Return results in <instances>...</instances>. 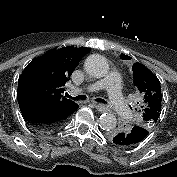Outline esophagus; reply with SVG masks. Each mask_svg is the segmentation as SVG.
I'll list each match as a JSON object with an SVG mask.
<instances>
[{
    "label": "esophagus",
    "instance_id": "1",
    "mask_svg": "<svg viewBox=\"0 0 177 177\" xmlns=\"http://www.w3.org/2000/svg\"><path fill=\"white\" fill-rule=\"evenodd\" d=\"M95 108L98 111H103V112L108 110V107L104 104H101V103H95Z\"/></svg>",
    "mask_w": 177,
    "mask_h": 177
}]
</instances>
